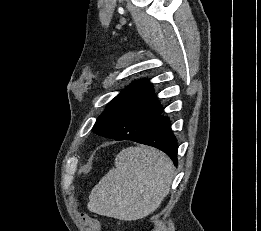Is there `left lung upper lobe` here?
I'll return each instance as SVG.
<instances>
[{"label":"left lung upper lobe","mask_w":261,"mask_h":231,"mask_svg":"<svg viewBox=\"0 0 261 231\" xmlns=\"http://www.w3.org/2000/svg\"><path fill=\"white\" fill-rule=\"evenodd\" d=\"M161 113L150 84L146 80L136 81L108 104L92 131L115 140L140 138Z\"/></svg>","instance_id":"obj_1"}]
</instances>
